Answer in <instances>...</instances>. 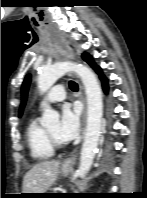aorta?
<instances>
[{
  "instance_id": "1",
  "label": "aorta",
  "mask_w": 147,
  "mask_h": 198,
  "mask_svg": "<svg viewBox=\"0 0 147 198\" xmlns=\"http://www.w3.org/2000/svg\"><path fill=\"white\" fill-rule=\"evenodd\" d=\"M70 71H74L81 78L87 97V126L77 170L78 175L83 178L92 166L101 131L103 99L97 77L90 68L82 64L59 62L42 68L38 76V88L41 93H45L60 77ZM58 120V112L47 106L42 116V126L48 127Z\"/></svg>"
}]
</instances>
